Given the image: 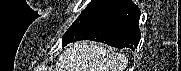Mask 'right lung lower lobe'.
Instances as JSON below:
<instances>
[{
  "mask_svg": "<svg viewBox=\"0 0 181 71\" xmlns=\"http://www.w3.org/2000/svg\"><path fill=\"white\" fill-rule=\"evenodd\" d=\"M139 17L138 7L130 0H97L69 27L63 45L93 40L134 50L141 38Z\"/></svg>",
  "mask_w": 181,
  "mask_h": 71,
  "instance_id": "obj_1",
  "label": "right lung lower lobe"
}]
</instances>
